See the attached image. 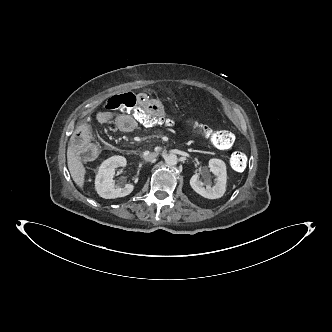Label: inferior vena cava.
<instances>
[{
	"instance_id": "602c4592",
	"label": "inferior vena cava",
	"mask_w": 332,
	"mask_h": 332,
	"mask_svg": "<svg viewBox=\"0 0 332 332\" xmlns=\"http://www.w3.org/2000/svg\"><path fill=\"white\" fill-rule=\"evenodd\" d=\"M158 156V153L157 152H152V153H149L147 155L144 156V159L146 161H152L154 160L156 157Z\"/></svg>"
}]
</instances>
